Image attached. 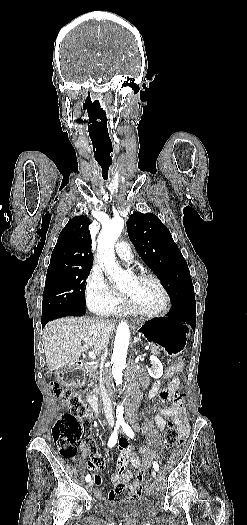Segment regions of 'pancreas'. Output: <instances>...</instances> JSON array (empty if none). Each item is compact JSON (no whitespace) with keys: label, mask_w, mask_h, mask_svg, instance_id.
<instances>
[{"label":"pancreas","mask_w":247,"mask_h":525,"mask_svg":"<svg viewBox=\"0 0 247 525\" xmlns=\"http://www.w3.org/2000/svg\"><path fill=\"white\" fill-rule=\"evenodd\" d=\"M152 351H155V355H158V353L162 351V348L160 346H156L155 348H152ZM98 367L99 363H97V361H94V359H91V361H89V363H87L86 365V371L90 375L89 379L91 381V385L92 383H95V381H98Z\"/></svg>","instance_id":"1"}]
</instances>
